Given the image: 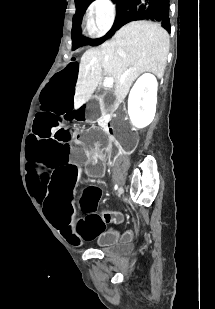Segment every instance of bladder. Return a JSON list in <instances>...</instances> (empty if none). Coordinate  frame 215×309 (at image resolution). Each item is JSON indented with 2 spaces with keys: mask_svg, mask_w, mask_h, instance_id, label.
I'll return each instance as SVG.
<instances>
[{
  "mask_svg": "<svg viewBox=\"0 0 215 309\" xmlns=\"http://www.w3.org/2000/svg\"><path fill=\"white\" fill-rule=\"evenodd\" d=\"M133 252V245L129 243L121 244L114 250L116 256L125 257L130 255Z\"/></svg>",
  "mask_w": 215,
  "mask_h": 309,
  "instance_id": "1",
  "label": "bladder"
}]
</instances>
